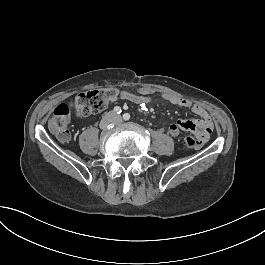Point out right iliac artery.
Returning <instances> with one entry per match:
<instances>
[{"label":"right iliac artery","instance_id":"obj_1","mask_svg":"<svg viewBox=\"0 0 265 265\" xmlns=\"http://www.w3.org/2000/svg\"><path fill=\"white\" fill-rule=\"evenodd\" d=\"M115 114H120L122 112L121 108L119 106L114 107Z\"/></svg>","mask_w":265,"mask_h":265}]
</instances>
